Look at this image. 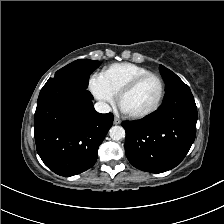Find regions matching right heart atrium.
<instances>
[{"mask_svg": "<svg viewBox=\"0 0 224 224\" xmlns=\"http://www.w3.org/2000/svg\"><path fill=\"white\" fill-rule=\"evenodd\" d=\"M89 89L93 96L102 104L107 106L114 102V94L107 89L100 76L95 75L90 78Z\"/></svg>", "mask_w": 224, "mask_h": 224, "instance_id": "obj_1", "label": "right heart atrium"}]
</instances>
